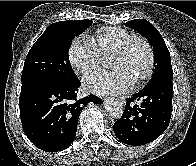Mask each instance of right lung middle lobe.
Masks as SVG:
<instances>
[{
    "label": "right lung middle lobe",
    "instance_id": "dd1d6c3e",
    "mask_svg": "<svg viewBox=\"0 0 196 166\" xmlns=\"http://www.w3.org/2000/svg\"><path fill=\"white\" fill-rule=\"evenodd\" d=\"M93 21H60L47 27L34 43L25 59L21 81L45 78L62 83L77 79L67 53L72 39Z\"/></svg>",
    "mask_w": 196,
    "mask_h": 166
}]
</instances>
